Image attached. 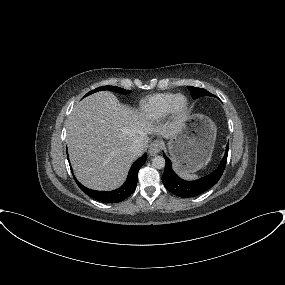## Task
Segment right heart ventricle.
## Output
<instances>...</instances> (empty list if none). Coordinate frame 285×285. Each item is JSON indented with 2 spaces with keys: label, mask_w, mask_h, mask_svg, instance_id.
Instances as JSON below:
<instances>
[{
  "label": "right heart ventricle",
  "mask_w": 285,
  "mask_h": 285,
  "mask_svg": "<svg viewBox=\"0 0 285 285\" xmlns=\"http://www.w3.org/2000/svg\"><path fill=\"white\" fill-rule=\"evenodd\" d=\"M176 94L161 93L147 98L142 103L144 115L153 121H159L166 118L171 112V104Z\"/></svg>",
  "instance_id": "obj_1"
}]
</instances>
